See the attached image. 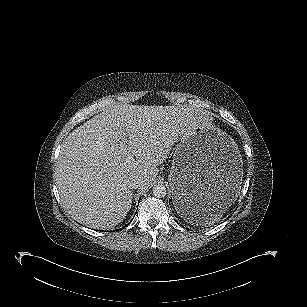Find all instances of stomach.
I'll list each match as a JSON object with an SVG mask.
<instances>
[{"instance_id":"1","label":"stomach","mask_w":307,"mask_h":307,"mask_svg":"<svg viewBox=\"0 0 307 307\" xmlns=\"http://www.w3.org/2000/svg\"><path fill=\"white\" fill-rule=\"evenodd\" d=\"M243 161L237 144L212 124H200L177 145L168 182L177 213L186 221L226 210L237 199Z\"/></svg>"}]
</instances>
